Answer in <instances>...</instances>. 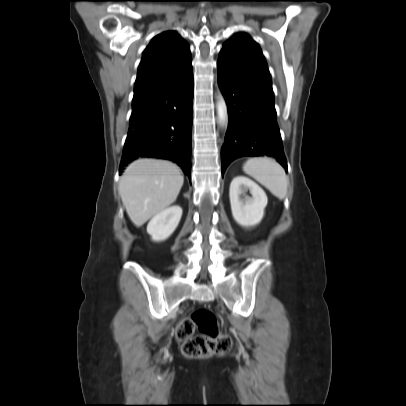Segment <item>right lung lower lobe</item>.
I'll list each match as a JSON object with an SVG mask.
<instances>
[{
  "label": "right lung lower lobe",
  "mask_w": 406,
  "mask_h": 406,
  "mask_svg": "<svg viewBox=\"0 0 406 406\" xmlns=\"http://www.w3.org/2000/svg\"><path fill=\"white\" fill-rule=\"evenodd\" d=\"M193 70L171 84L137 98L119 171L139 158L177 163L191 178Z\"/></svg>",
  "instance_id": "right-lung-lower-lobe-1"
}]
</instances>
